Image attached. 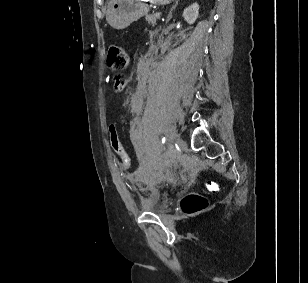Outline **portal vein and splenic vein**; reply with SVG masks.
Wrapping results in <instances>:
<instances>
[{"instance_id": "obj_1", "label": "portal vein and splenic vein", "mask_w": 308, "mask_h": 283, "mask_svg": "<svg viewBox=\"0 0 308 283\" xmlns=\"http://www.w3.org/2000/svg\"><path fill=\"white\" fill-rule=\"evenodd\" d=\"M157 17L160 18L161 12L156 13Z\"/></svg>"}]
</instances>
